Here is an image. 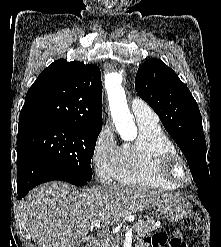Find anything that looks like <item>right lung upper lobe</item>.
Listing matches in <instances>:
<instances>
[{
  "label": "right lung upper lobe",
  "instance_id": "1",
  "mask_svg": "<svg viewBox=\"0 0 221 247\" xmlns=\"http://www.w3.org/2000/svg\"><path fill=\"white\" fill-rule=\"evenodd\" d=\"M101 103L99 68L59 59L49 65L28 90L18 129L71 123L100 131Z\"/></svg>",
  "mask_w": 221,
  "mask_h": 247
}]
</instances>
